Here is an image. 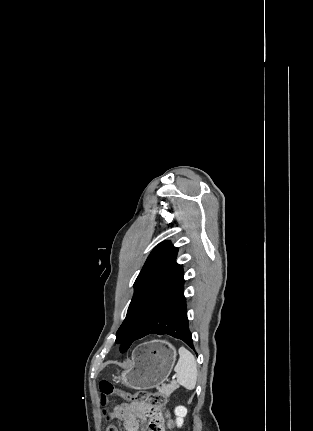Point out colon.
<instances>
[{
  "mask_svg": "<svg viewBox=\"0 0 313 431\" xmlns=\"http://www.w3.org/2000/svg\"><path fill=\"white\" fill-rule=\"evenodd\" d=\"M233 116H237L238 121H241V118L238 116V114L228 115V117ZM99 391L103 403H105L107 397L118 396L132 403L147 406L150 413L155 417V420L151 426V431H164L165 421L168 428L172 427L169 413L165 411L166 398L160 393L149 391L128 393L116 389L109 381H101L99 383ZM106 431H117V429L115 426L109 425Z\"/></svg>",
  "mask_w": 313,
  "mask_h": 431,
  "instance_id": "obj_1",
  "label": "colon"
}]
</instances>
